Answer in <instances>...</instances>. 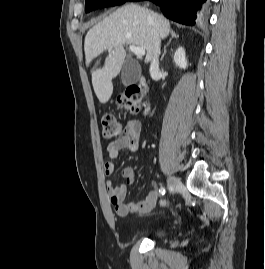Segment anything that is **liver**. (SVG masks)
Returning <instances> with one entry per match:
<instances>
[{"mask_svg":"<svg viewBox=\"0 0 265 269\" xmlns=\"http://www.w3.org/2000/svg\"><path fill=\"white\" fill-rule=\"evenodd\" d=\"M154 31L160 39H165L171 32L169 21L136 4L117 9L88 31L84 42L86 65L104 51L109 52L103 67L92 71V85L101 103H106L113 93L112 79L120 73L125 62V45L143 48L145 62L152 60Z\"/></svg>","mask_w":265,"mask_h":269,"instance_id":"liver-1","label":"liver"}]
</instances>
